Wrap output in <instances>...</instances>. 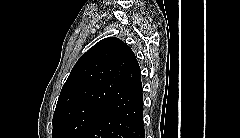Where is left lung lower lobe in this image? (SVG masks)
Wrapping results in <instances>:
<instances>
[{"mask_svg":"<svg viewBox=\"0 0 240 138\" xmlns=\"http://www.w3.org/2000/svg\"><path fill=\"white\" fill-rule=\"evenodd\" d=\"M85 138H145L141 72L137 60Z\"/></svg>","mask_w":240,"mask_h":138,"instance_id":"1","label":"left lung lower lobe"}]
</instances>
